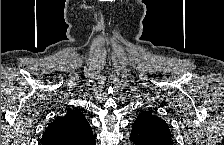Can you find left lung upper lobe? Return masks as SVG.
Listing matches in <instances>:
<instances>
[{"instance_id":"1","label":"left lung upper lobe","mask_w":224,"mask_h":145,"mask_svg":"<svg viewBox=\"0 0 224 145\" xmlns=\"http://www.w3.org/2000/svg\"><path fill=\"white\" fill-rule=\"evenodd\" d=\"M139 115L148 118L150 124L152 125V129L160 136H162L164 140L172 143L171 132L169 130L167 123L164 120L152 115L151 111H142Z\"/></svg>"}]
</instances>
